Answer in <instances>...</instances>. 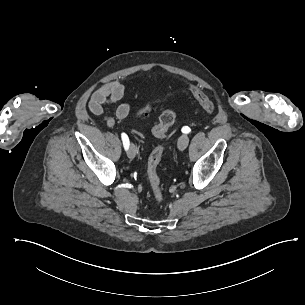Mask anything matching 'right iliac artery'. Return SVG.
<instances>
[{
	"instance_id": "right-iliac-artery-1",
	"label": "right iliac artery",
	"mask_w": 305,
	"mask_h": 305,
	"mask_svg": "<svg viewBox=\"0 0 305 305\" xmlns=\"http://www.w3.org/2000/svg\"><path fill=\"white\" fill-rule=\"evenodd\" d=\"M122 141H123L125 150H127L129 148V138L125 133H122Z\"/></svg>"
}]
</instances>
